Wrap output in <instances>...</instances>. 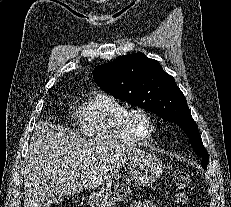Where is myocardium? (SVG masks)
Returning a JSON list of instances; mask_svg holds the SVG:
<instances>
[{"mask_svg":"<svg viewBox=\"0 0 231 207\" xmlns=\"http://www.w3.org/2000/svg\"><path fill=\"white\" fill-rule=\"evenodd\" d=\"M138 116L144 117L148 122L149 132L146 135L142 134L136 125V118ZM124 119L128 131L138 141H148L155 133L156 124L154 118L152 114L145 108L132 107L127 109L124 115Z\"/></svg>","mask_w":231,"mask_h":207,"instance_id":"f54148a6","label":"myocardium"}]
</instances>
